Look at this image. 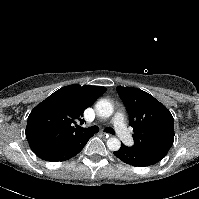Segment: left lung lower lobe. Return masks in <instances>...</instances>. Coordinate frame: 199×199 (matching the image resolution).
<instances>
[{
	"mask_svg": "<svg viewBox=\"0 0 199 199\" xmlns=\"http://www.w3.org/2000/svg\"><path fill=\"white\" fill-rule=\"evenodd\" d=\"M113 154L124 163L137 167H145L159 162L162 158L153 154L138 150L134 147H127L124 144Z\"/></svg>",
	"mask_w": 199,
	"mask_h": 199,
	"instance_id": "obj_1",
	"label": "left lung lower lobe"
}]
</instances>
